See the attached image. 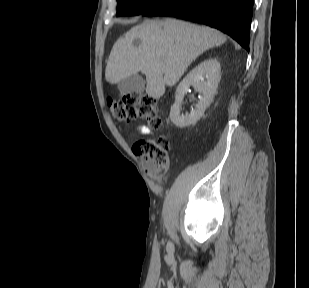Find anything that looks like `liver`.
<instances>
[{"label":"liver","mask_w":309,"mask_h":288,"mask_svg":"<svg viewBox=\"0 0 309 288\" xmlns=\"http://www.w3.org/2000/svg\"><path fill=\"white\" fill-rule=\"evenodd\" d=\"M225 41V35L210 27L176 19L145 21L115 42L105 78L116 84L140 71L146 76L147 95L159 99L199 55Z\"/></svg>","instance_id":"6515ba94"}]
</instances>
